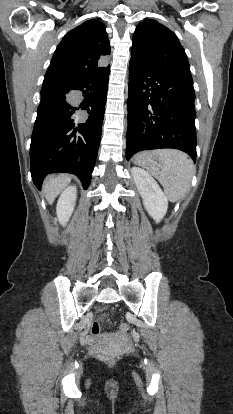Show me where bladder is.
Returning a JSON list of instances; mask_svg holds the SVG:
<instances>
[{"mask_svg":"<svg viewBox=\"0 0 233 414\" xmlns=\"http://www.w3.org/2000/svg\"><path fill=\"white\" fill-rule=\"evenodd\" d=\"M123 339L114 335H106L101 338L102 346H109L113 344L122 343Z\"/></svg>","mask_w":233,"mask_h":414,"instance_id":"bladder-1","label":"bladder"}]
</instances>
